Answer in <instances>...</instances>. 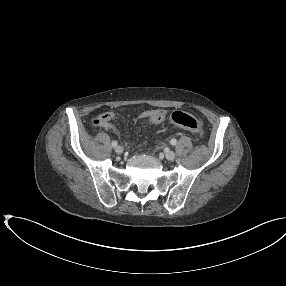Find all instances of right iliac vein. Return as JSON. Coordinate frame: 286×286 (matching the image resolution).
I'll return each mask as SVG.
<instances>
[{"instance_id":"obj_1","label":"right iliac vein","mask_w":286,"mask_h":286,"mask_svg":"<svg viewBox=\"0 0 286 286\" xmlns=\"http://www.w3.org/2000/svg\"><path fill=\"white\" fill-rule=\"evenodd\" d=\"M115 152H116L117 154H122V153H123V147H122V146H116Z\"/></svg>"}]
</instances>
